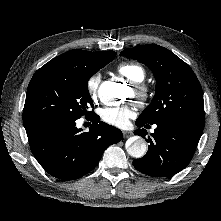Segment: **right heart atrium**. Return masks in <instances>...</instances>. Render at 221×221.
Masks as SVG:
<instances>
[{
  "label": "right heart atrium",
  "mask_w": 221,
  "mask_h": 221,
  "mask_svg": "<svg viewBox=\"0 0 221 221\" xmlns=\"http://www.w3.org/2000/svg\"><path fill=\"white\" fill-rule=\"evenodd\" d=\"M101 74L99 72L93 73L86 82V89L89 95L95 99L97 97L98 89L101 83Z\"/></svg>",
  "instance_id": "right-heart-atrium-1"
}]
</instances>
